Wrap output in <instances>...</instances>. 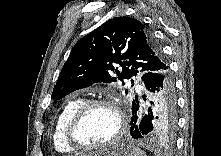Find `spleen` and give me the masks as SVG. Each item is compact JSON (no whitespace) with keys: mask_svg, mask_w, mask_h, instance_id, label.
Returning <instances> with one entry per match:
<instances>
[{"mask_svg":"<svg viewBox=\"0 0 221 156\" xmlns=\"http://www.w3.org/2000/svg\"><path fill=\"white\" fill-rule=\"evenodd\" d=\"M135 150H136V156H146L145 152L142 151L141 149L135 148Z\"/></svg>","mask_w":221,"mask_h":156,"instance_id":"3e777b00","label":"spleen"}]
</instances>
